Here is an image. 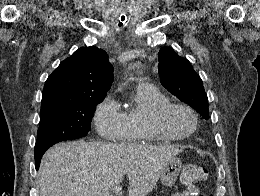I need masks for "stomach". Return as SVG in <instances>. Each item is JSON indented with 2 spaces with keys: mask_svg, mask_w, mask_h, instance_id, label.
Segmentation results:
<instances>
[{
  "mask_svg": "<svg viewBox=\"0 0 260 196\" xmlns=\"http://www.w3.org/2000/svg\"><path fill=\"white\" fill-rule=\"evenodd\" d=\"M182 162L179 158H171L169 160L166 168H164L161 174V182L163 186H167V188H172L174 186L177 176L180 174Z\"/></svg>",
  "mask_w": 260,
  "mask_h": 196,
  "instance_id": "0dacf381",
  "label": "stomach"
}]
</instances>
